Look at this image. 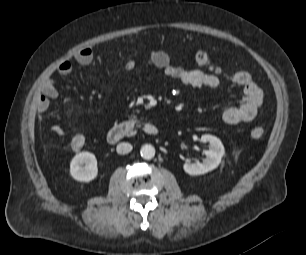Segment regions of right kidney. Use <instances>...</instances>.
Instances as JSON below:
<instances>
[{"label":"right kidney","mask_w":306,"mask_h":255,"mask_svg":"<svg viewBox=\"0 0 306 255\" xmlns=\"http://www.w3.org/2000/svg\"><path fill=\"white\" fill-rule=\"evenodd\" d=\"M70 174L75 180L81 182H90L95 179L98 174L95 155L90 152L75 155L70 163Z\"/></svg>","instance_id":"1"}]
</instances>
